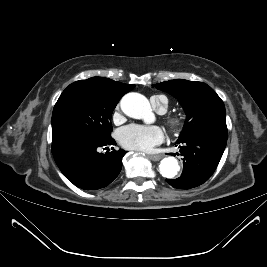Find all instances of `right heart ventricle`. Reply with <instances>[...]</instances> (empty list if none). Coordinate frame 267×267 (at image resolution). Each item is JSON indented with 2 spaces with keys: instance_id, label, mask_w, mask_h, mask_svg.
<instances>
[{
  "instance_id": "obj_1",
  "label": "right heart ventricle",
  "mask_w": 267,
  "mask_h": 267,
  "mask_svg": "<svg viewBox=\"0 0 267 267\" xmlns=\"http://www.w3.org/2000/svg\"><path fill=\"white\" fill-rule=\"evenodd\" d=\"M151 104L158 111L165 112L168 108V100L165 96L156 95L151 97Z\"/></svg>"
}]
</instances>
